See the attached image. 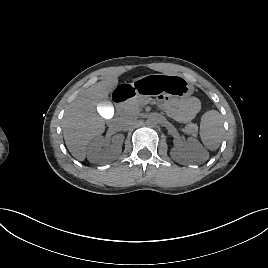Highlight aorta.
Listing matches in <instances>:
<instances>
[{
	"mask_svg": "<svg viewBox=\"0 0 268 268\" xmlns=\"http://www.w3.org/2000/svg\"><path fill=\"white\" fill-rule=\"evenodd\" d=\"M146 124L150 127H155L158 124V118L156 115H150L146 119Z\"/></svg>",
	"mask_w": 268,
	"mask_h": 268,
	"instance_id": "1",
	"label": "aorta"
}]
</instances>
